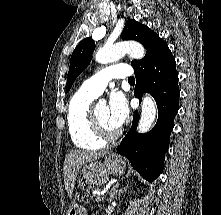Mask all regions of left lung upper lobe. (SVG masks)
Here are the masks:
<instances>
[{"label":"left lung upper lobe","mask_w":221,"mask_h":215,"mask_svg":"<svg viewBox=\"0 0 221 215\" xmlns=\"http://www.w3.org/2000/svg\"><path fill=\"white\" fill-rule=\"evenodd\" d=\"M121 38L124 40L139 41L146 49V55L143 59L133 60L131 62L134 70H138L147 65L159 48L166 44L165 41L162 40L154 31L149 29L147 26L131 19L126 21ZM94 50L95 43L90 37L83 39L76 46L70 60L66 92L70 90L76 77L89 65Z\"/></svg>","instance_id":"obj_1"}]
</instances>
